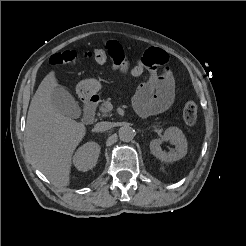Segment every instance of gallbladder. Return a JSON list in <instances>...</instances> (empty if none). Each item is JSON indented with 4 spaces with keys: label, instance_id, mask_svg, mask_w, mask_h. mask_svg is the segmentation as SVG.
<instances>
[{
    "label": "gallbladder",
    "instance_id": "gallbladder-1",
    "mask_svg": "<svg viewBox=\"0 0 246 246\" xmlns=\"http://www.w3.org/2000/svg\"><path fill=\"white\" fill-rule=\"evenodd\" d=\"M52 104L64 116L79 118L81 109L73 96L64 87H56L52 94Z\"/></svg>",
    "mask_w": 246,
    "mask_h": 246
}]
</instances>
